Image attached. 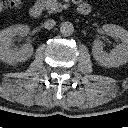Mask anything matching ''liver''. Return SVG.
I'll list each match as a JSON object with an SVG mask.
<instances>
[{"label":"liver","instance_id":"obj_1","mask_svg":"<svg viewBox=\"0 0 128 128\" xmlns=\"http://www.w3.org/2000/svg\"><path fill=\"white\" fill-rule=\"evenodd\" d=\"M4 7V3L0 0V13L3 11Z\"/></svg>","mask_w":128,"mask_h":128}]
</instances>
